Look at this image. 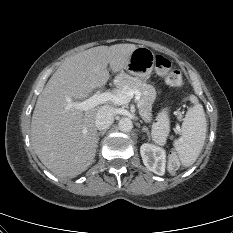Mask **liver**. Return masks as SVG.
Instances as JSON below:
<instances>
[{
    "mask_svg": "<svg viewBox=\"0 0 233 233\" xmlns=\"http://www.w3.org/2000/svg\"><path fill=\"white\" fill-rule=\"evenodd\" d=\"M134 44L97 46L66 58L39 95L31 121L32 145L40 161L58 177L73 178L94 162L97 148L95 106L87 111L70 106L82 102L110 75L126 68Z\"/></svg>",
    "mask_w": 233,
    "mask_h": 233,
    "instance_id": "obj_1",
    "label": "liver"
}]
</instances>
